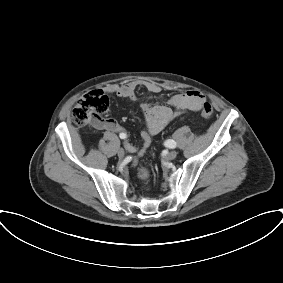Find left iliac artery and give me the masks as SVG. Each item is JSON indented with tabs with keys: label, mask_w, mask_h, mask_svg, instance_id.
Here are the masks:
<instances>
[{
	"label": "left iliac artery",
	"mask_w": 283,
	"mask_h": 283,
	"mask_svg": "<svg viewBox=\"0 0 283 283\" xmlns=\"http://www.w3.org/2000/svg\"><path fill=\"white\" fill-rule=\"evenodd\" d=\"M165 145L169 148H175L177 144L174 140L169 139L165 142Z\"/></svg>",
	"instance_id": "obj_1"
}]
</instances>
